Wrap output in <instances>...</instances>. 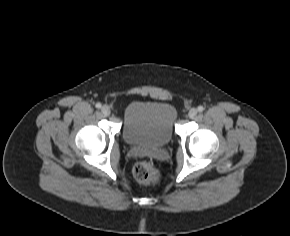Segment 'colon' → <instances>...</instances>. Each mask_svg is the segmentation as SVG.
<instances>
[{
    "label": "colon",
    "instance_id": "obj_1",
    "mask_svg": "<svg viewBox=\"0 0 290 236\" xmlns=\"http://www.w3.org/2000/svg\"><path fill=\"white\" fill-rule=\"evenodd\" d=\"M136 180L144 185H155L160 181L158 168L149 161H140L134 167Z\"/></svg>",
    "mask_w": 290,
    "mask_h": 236
}]
</instances>
